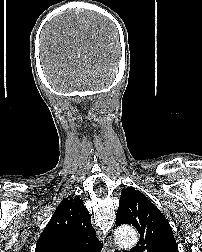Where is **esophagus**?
Listing matches in <instances>:
<instances>
[{
	"mask_svg": "<svg viewBox=\"0 0 202 252\" xmlns=\"http://www.w3.org/2000/svg\"><path fill=\"white\" fill-rule=\"evenodd\" d=\"M108 246H109L110 252H121L120 248H118L111 240L108 241Z\"/></svg>",
	"mask_w": 202,
	"mask_h": 252,
	"instance_id": "obj_1",
	"label": "esophagus"
}]
</instances>
